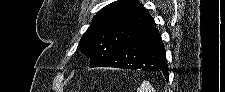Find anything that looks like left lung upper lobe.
Wrapping results in <instances>:
<instances>
[{
	"label": "left lung upper lobe",
	"instance_id": "1",
	"mask_svg": "<svg viewBox=\"0 0 225 92\" xmlns=\"http://www.w3.org/2000/svg\"><path fill=\"white\" fill-rule=\"evenodd\" d=\"M152 20L137 0H118L102 8L83 34L78 49L97 67L131 41Z\"/></svg>",
	"mask_w": 225,
	"mask_h": 92
}]
</instances>
